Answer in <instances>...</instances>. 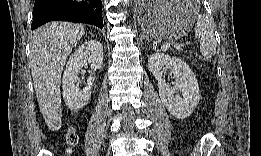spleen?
I'll list each match as a JSON object with an SVG mask.
<instances>
[{
    "instance_id": "3e777b00",
    "label": "spleen",
    "mask_w": 261,
    "mask_h": 156,
    "mask_svg": "<svg viewBox=\"0 0 261 156\" xmlns=\"http://www.w3.org/2000/svg\"><path fill=\"white\" fill-rule=\"evenodd\" d=\"M195 37L200 41V52L205 59H210L216 53L214 29L209 18L199 14L195 25Z\"/></svg>"
}]
</instances>
